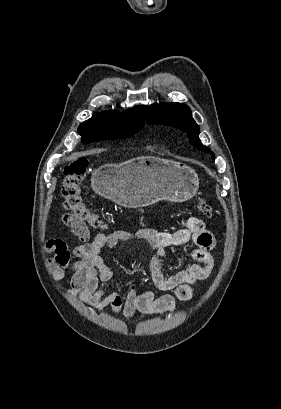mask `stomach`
I'll list each match as a JSON object with an SVG mask.
<instances>
[{
    "mask_svg": "<svg viewBox=\"0 0 281 409\" xmlns=\"http://www.w3.org/2000/svg\"><path fill=\"white\" fill-rule=\"evenodd\" d=\"M194 168L159 156H136L119 164H102L92 174L91 186L97 194L116 205L139 209L158 200L184 202L199 188Z\"/></svg>",
    "mask_w": 281,
    "mask_h": 409,
    "instance_id": "0dacf381",
    "label": "stomach"
}]
</instances>
